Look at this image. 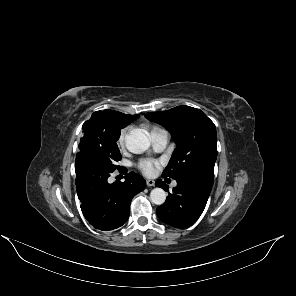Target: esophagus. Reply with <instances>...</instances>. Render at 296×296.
<instances>
[{"label": "esophagus", "instance_id": "obj_1", "mask_svg": "<svg viewBox=\"0 0 296 296\" xmlns=\"http://www.w3.org/2000/svg\"><path fill=\"white\" fill-rule=\"evenodd\" d=\"M146 183H147V186H149V187H152V186L155 185V181H154V180H151V179H148V180L146 181Z\"/></svg>", "mask_w": 296, "mask_h": 296}]
</instances>
